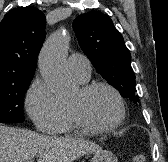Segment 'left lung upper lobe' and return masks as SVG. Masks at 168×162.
<instances>
[{
	"label": "left lung upper lobe",
	"instance_id": "obj_1",
	"mask_svg": "<svg viewBox=\"0 0 168 162\" xmlns=\"http://www.w3.org/2000/svg\"><path fill=\"white\" fill-rule=\"evenodd\" d=\"M79 45L96 71L119 90L122 97L138 103L131 54L112 20L98 11L79 15L73 22Z\"/></svg>",
	"mask_w": 168,
	"mask_h": 162
}]
</instances>
